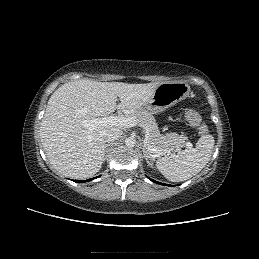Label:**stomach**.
Wrapping results in <instances>:
<instances>
[{
	"label": "stomach",
	"instance_id": "stomach-1",
	"mask_svg": "<svg viewBox=\"0 0 259 259\" xmlns=\"http://www.w3.org/2000/svg\"><path fill=\"white\" fill-rule=\"evenodd\" d=\"M189 94L190 86L184 81L161 83L140 110L157 114L185 100Z\"/></svg>",
	"mask_w": 259,
	"mask_h": 259
}]
</instances>
